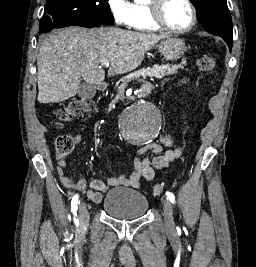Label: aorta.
Instances as JSON below:
<instances>
[{
  "label": "aorta",
  "mask_w": 256,
  "mask_h": 267,
  "mask_svg": "<svg viewBox=\"0 0 256 267\" xmlns=\"http://www.w3.org/2000/svg\"><path fill=\"white\" fill-rule=\"evenodd\" d=\"M132 107L127 108L126 117H119L121 127H159L160 108L151 101H134ZM121 133L127 143H150V138H158L160 128H121Z\"/></svg>",
  "instance_id": "762f6f07"
}]
</instances>
